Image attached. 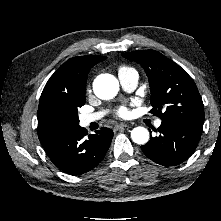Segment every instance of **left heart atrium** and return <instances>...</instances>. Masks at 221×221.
<instances>
[{
	"label": "left heart atrium",
	"mask_w": 221,
	"mask_h": 221,
	"mask_svg": "<svg viewBox=\"0 0 221 221\" xmlns=\"http://www.w3.org/2000/svg\"><path fill=\"white\" fill-rule=\"evenodd\" d=\"M117 115L122 118L127 117L129 115V111H128L127 107L121 106L117 111Z\"/></svg>",
	"instance_id": "left-heart-atrium-1"
}]
</instances>
